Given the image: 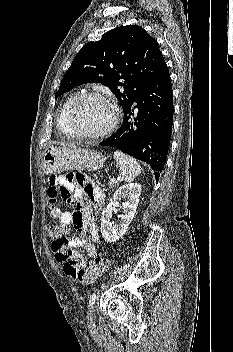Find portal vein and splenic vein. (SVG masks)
<instances>
[{
	"label": "portal vein and splenic vein",
	"instance_id": "18ae733b",
	"mask_svg": "<svg viewBox=\"0 0 233 352\" xmlns=\"http://www.w3.org/2000/svg\"><path fill=\"white\" fill-rule=\"evenodd\" d=\"M111 181H112V182H116L117 179H116V178H112Z\"/></svg>",
	"mask_w": 233,
	"mask_h": 352
}]
</instances>
